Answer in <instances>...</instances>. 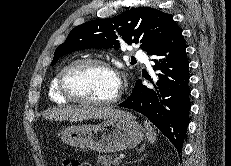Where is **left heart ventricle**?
<instances>
[{
  "mask_svg": "<svg viewBox=\"0 0 231 166\" xmlns=\"http://www.w3.org/2000/svg\"><path fill=\"white\" fill-rule=\"evenodd\" d=\"M66 83L75 95L93 100L110 99L118 89L117 77L98 65L75 68L69 73Z\"/></svg>",
  "mask_w": 231,
  "mask_h": 166,
  "instance_id": "b2bd125f",
  "label": "left heart ventricle"
}]
</instances>
